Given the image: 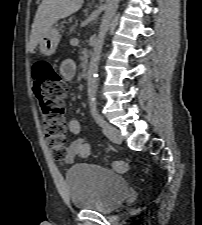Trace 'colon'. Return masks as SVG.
Returning <instances> with one entry per match:
<instances>
[{"mask_svg":"<svg viewBox=\"0 0 202 225\" xmlns=\"http://www.w3.org/2000/svg\"><path fill=\"white\" fill-rule=\"evenodd\" d=\"M32 75L35 93L42 117V126L55 158L67 154V127L65 123L64 99L68 84L58 74L56 66L47 60H38L33 64ZM112 168L118 173L129 169L124 161L113 163Z\"/></svg>","mask_w":202,"mask_h":225,"instance_id":"1","label":"colon"}]
</instances>
